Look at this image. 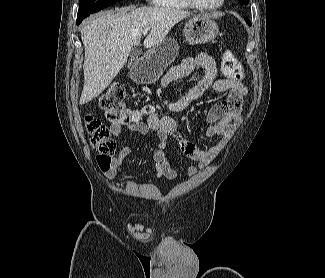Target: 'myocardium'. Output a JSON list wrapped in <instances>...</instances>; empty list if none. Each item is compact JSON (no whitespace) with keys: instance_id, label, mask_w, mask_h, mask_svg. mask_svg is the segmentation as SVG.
<instances>
[{"instance_id":"1","label":"myocardium","mask_w":325,"mask_h":278,"mask_svg":"<svg viewBox=\"0 0 325 278\" xmlns=\"http://www.w3.org/2000/svg\"><path fill=\"white\" fill-rule=\"evenodd\" d=\"M189 2V4L196 8V9H200V10H205V11H211V10H216L218 8H220L225 0H220L218 3L214 4V5H203L201 3H199L197 0H187Z\"/></svg>"}]
</instances>
